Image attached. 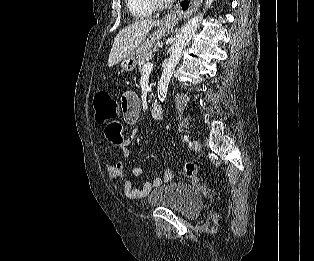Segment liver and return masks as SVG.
<instances>
[{"label": "liver", "mask_w": 314, "mask_h": 261, "mask_svg": "<svg viewBox=\"0 0 314 261\" xmlns=\"http://www.w3.org/2000/svg\"><path fill=\"white\" fill-rule=\"evenodd\" d=\"M159 25L158 20L147 19L129 24L119 31L110 51L108 66L113 67L128 57L142 44L149 31Z\"/></svg>", "instance_id": "1"}]
</instances>
